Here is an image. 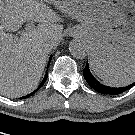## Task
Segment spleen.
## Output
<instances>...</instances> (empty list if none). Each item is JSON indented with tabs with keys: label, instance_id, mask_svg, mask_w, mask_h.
<instances>
[{
	"label": "spleen",
	"instance_id": "obj_1",
	"mask_svg": "<svg viewBox=\"0 0 135 135\" xmlns=\"http://www.w3.org/2000/svg\"><path fill=\"white\" fill-rule=\"evenodd\" d=\"M90 66L95 74L110 86L123 87L135 82V62L124 69L110 72L97 70L98 63L95 60H90Z\"/></svg>",
	"mask_w": 135,
	"mask_h": 135
}]
</instances>
